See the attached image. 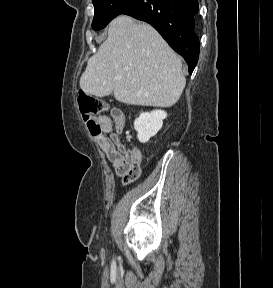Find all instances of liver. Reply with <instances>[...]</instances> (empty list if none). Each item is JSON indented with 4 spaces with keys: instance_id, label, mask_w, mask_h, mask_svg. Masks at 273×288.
Here are the masks:
<instances>
[{
    "instance_id": "1",
    "label": "liver",
    "mask_w": 273,
    "mask_h": 288,
    "mask_svg": "<svg viewBox=\"0 0 273 288\" xmlns=\"http://www.w3.org/2000/svg\"><path fill=\"white\" fill-rule=\"evenodd\" d=\"M186 84L182 62L149 24L121 15L109 25L108 38L87 63L80 88L87 95L129 105L171 107Z\"/></svg>"
}]
</instances>
